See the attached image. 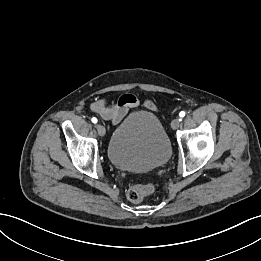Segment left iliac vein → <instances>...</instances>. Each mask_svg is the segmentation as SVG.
I'll use <instances>...</instances> for the list:
<instances>
[{"label":"left iliac vein","instance_id":"4c4485c4","mask_svg":"<svg viewBox=\"0 0 261 261\" xmlns=\"http://www.w3.org/2000/svg\"><path fill=\"white\" fill-rule=\"evenodd\" d=\"M180 122H181V120L179 118L174 119L171 122L172 129H174V130L177 129L180 126Z\"/></svg>","mask_w":261,"mask_h":261}]
</instances>
